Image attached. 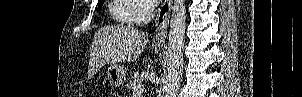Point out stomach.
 <instances>
[{
    "instance_id": "obj_1",
    "label": "stomach",
    "mask_w": 302,
    "mask_h": 97,
    "mask_svg": "<svg viewBox=\"0 0 302 97\" xmlns=\"http://www.w3.org/2000/svg\"><path fill=\"white\" fill-rule=\"evenodd\" d=\"M109 82L114 86H121L126 80V70L117 63H112L107 71Z\"/></svg>"
}]
</instances>
